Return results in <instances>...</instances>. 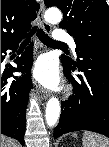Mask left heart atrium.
Here are the masks:
<instances>
[{
    "instance_id": "1",
    "label": "left heart atrium",
    "mask_w": 109,
    "mask_h": 147,
    "mask_svg": "<svg viewBox=\"0 0 109 147\" xmlns=\"http://www.w3.org/2000/svg\"><path fill=\"white\" fill-rule=\"evenodd\" d=\"M36 79L44 86L55 89L60 84V76L57 64L50 57H43L39 60L36 70Z\"/></svg>"
}]
</instances>
